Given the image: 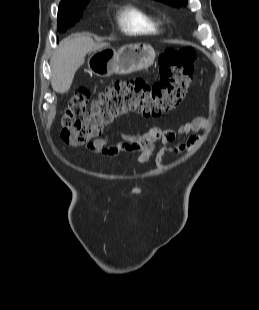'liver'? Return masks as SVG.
<instances>
[{"label":"liver","instance_id":"1","mask_svg":"<svg viewBox=\"0 0 259 310\" xmlns=\"http://www.w3.org/2000/svg\"><path fill=\"white\" fill-rule=\"evenodd\" d=\"M108 46L106 43H95L84 34L67 37L51 58V85L55 92L66 93L73 82L76 71L84 64L87 53Z\"/></svg>","mask_w":259,"mask_h":310}]
</instances>
